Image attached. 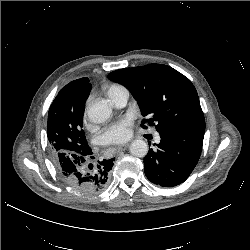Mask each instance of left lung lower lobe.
Returning <instances> with one entry per match:
<instances>
[{"mask_svg": "<svg viewBox=\"0 0 250 250\" xmlns=\"http://www.w3.org/2000/svg\"><path fill=\"white\" fill-rule=\"evenodd\" d=\"M160 143L144 158L149 181L163 187L183 183L195 168L203 145L204 131L160 132Z\"/></svg>", "mask_w": 250, "mask_h": 250, "instance_id": "left-lung-lower-lobe-1", "label": "left lung lower lobe"}]
</instances>
